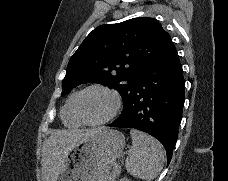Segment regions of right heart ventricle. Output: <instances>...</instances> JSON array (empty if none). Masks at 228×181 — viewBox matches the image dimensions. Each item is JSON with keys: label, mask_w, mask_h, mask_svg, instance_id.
I'll return each instance as SVG.
<instances>
[{"label": "right heart ventricle", "mask_w": 228, "mask_h": 181, "mask_svg": "<svg viewBox=\"0 0 228 181\" xmlns=\"http://www.w3.org/2000/svg\"><path fill=\"white\" fill-rule=\"evenodd\" d=\"M76 96V94H73L63 109V121L69 127H78L82 124V121L78 118L74 109Z\"/></svg>", "instance_id": "right-heart-ventricle-1"}]
</instances>
